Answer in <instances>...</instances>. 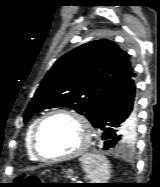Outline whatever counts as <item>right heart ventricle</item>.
Listing matches in <instances>:
<instances>
[{
    "mask_svg": "<svg viewBox=\"0 0 160 187\" xmlns=\"http://www.w3.org/2000/svg\"><path fill=\"white\" fill-rule=\"evenodd\" d=\"M38 120H39V118L35 119L28 126L25 136H24V148H25L26 155L30 160H33V161L38 160V158L36 157V155L34 154V152L32 150V133H33L34 127H35Z\"/></svg>",
    "mask_w": 160,
    "mask_h": 187,
    "instance_id": "obj_1",
    "label": "right heart ventricle"
}]
</instances>
